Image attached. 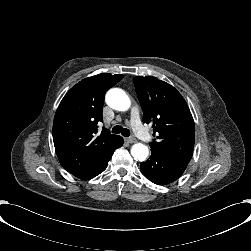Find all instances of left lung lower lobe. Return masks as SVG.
<instances>
[{"instance_id": "1", "label": "left lung lower lobe", "mask_w": 251, "mask_h": 251, "mask_svg": "<svg viewBox=\"0 0 251 251\" xmlns=\"http://www.w3.org/2000/svg\"><path fill=\"white\" fill-rule=\"evenodd\" d=\"M188 163L177 161L151 151L150 158L141 163L142 174L158 185L174 182L182 176Z\"/></svg>"}]
</instances>
